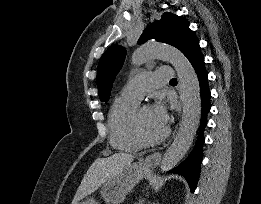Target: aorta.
Instances as JSON below:
<instances>
[{
	"label": "aorta",
	"mask_w": 261,
	"mask_h": 204,
	"mask_svg": "<svg viewBox=\"0 0 261 204\" xmlns=\"http://www.w3.org/2000/svg\"><path fill=\"white\" fill-rule=\"evenodd\" d=\"M154 58L164 59L173 65L178 75L183 101L179 131L160 163L161 171L166 172L182 160L196 135L201 116L200 85L189 60L172 46L146 43L134 51L132 63L139 66Z\"/></svg>",
	"instance_id": "aorta-1"
}]
</instances>
